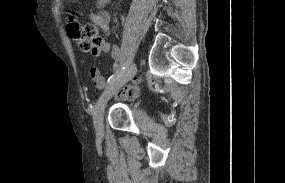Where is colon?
<instances>
[{
    "instance_id": "1",
    "label": "colon",
    "mask_w": 285,
    "mask_h": 183,
    "mask_svg": "<svg viewBox=\"0 0 285 183\" xmlns=\"http://www.w3.org/2000/svg\"><path fill=\"white\" fill-rule=\"evenodd\" d=\"M67 31L70 38L78 41L80 47L84 50L93 52L101 43V38L90 25L82 26L75 21H70Z\"/></svg>"
}]
</instances>
